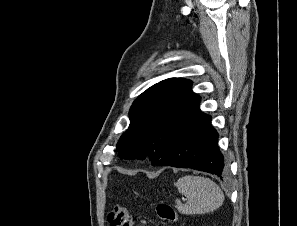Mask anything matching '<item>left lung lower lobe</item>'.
<instances>
[{
    "instance_id": "left-lung-lower-lobe-1",
    "label": "left lung lower lobe",
    "mask_w": 297,
    "mask_h": 226,
    "mask_svg": "<svg viewBox=\"0 0 297 226\" xmlns=\"http://www.w3.org/2000/svg\"><path fill=\"white\" fill-rule=\"evenodd\" d=\"M217 142L218 133L211 125V116L201 112L197 105L156 165L191 168L223 178L226 167Z\"/></svg>"
}]
</instances>
